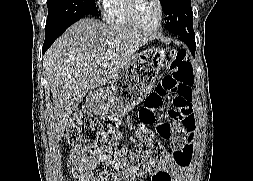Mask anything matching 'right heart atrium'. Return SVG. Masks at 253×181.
<instances>
[{
  "mask_svg": "<svg viewBox=\"0 0 253 181\" xmlns=\"http://www.w3.org/2000/svg\"><path fill=\"white\" fill-rule=\"evenodd\" d=\"M103 1H104V0H97V3H98V4H100V3L103 4Z\"/></svg>",
  "mask_w": 253,
  "mask_h": 181,
  "instance_id": "1",
  "label": "right heart atrium"
}]
</instances>
